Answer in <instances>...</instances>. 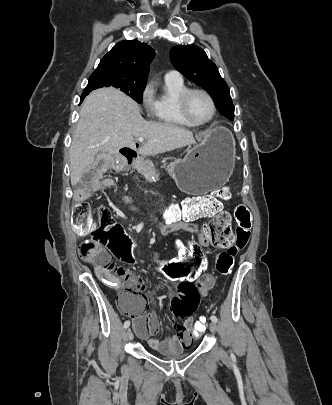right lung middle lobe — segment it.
<instances>
[{"label":"right lung middle lobe","instance_id":"1","mask_svg":"<svg viewBox=\"0 0 332 405\" xmlns=\"http://www.w3.org/2000/svg\"><path fill=\"white\" fill-rule=\"evenodd\" d=\"M146 82L147 80L136 79L116 72H96L90 76L85 91L91 92L100 87L113 86L120 88L128 96L141 103Z\"/></svg>","mask_w":332,"mask_h":405}]
</instances>
